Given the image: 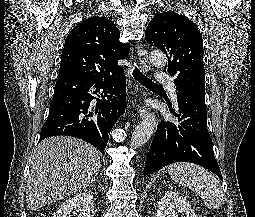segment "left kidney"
<instances>
[{"instance_id":"5707ae66","label":"left kidney","mask_w":255,"mask_h":217,"mask_svg":"<svg viewBox=\"0 0 255 217\" xmlns=\"http://www.w3.org/2000/svg\"><path fill=\"white\" fill-rule=\"evenodd\" d=\"M197 217L186 198L172 190L164 192L158 202L157 217Z\"/></svg>"}]
</instances>
